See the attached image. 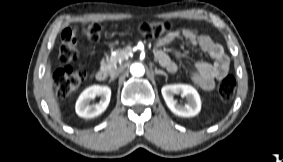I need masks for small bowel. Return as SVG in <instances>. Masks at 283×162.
I'll return each mask as SVG.
<instances>
[{"mask_svg":"<svg viewBox=\"0 0 283 162\" xmlns=\"http://www.w3.org/2000/svg\"><path fill=\"white\" fill-rule=\"evenodd\" d=\"M180 39L187 40L191 46L213 59V63L197 62L192 73V80L197 86L203 90H212L216 80L225 77L229 71L230 61L223 47L208 35L198 34L191 28L171 31L156 42L154 50L158 62L170 72L177 70V64L165 52V47Z\"/></svg>","mask_w":283,"mask_h":162,"instance_id":"small-bowel-1","label":"small bowel"}]
</instances>
